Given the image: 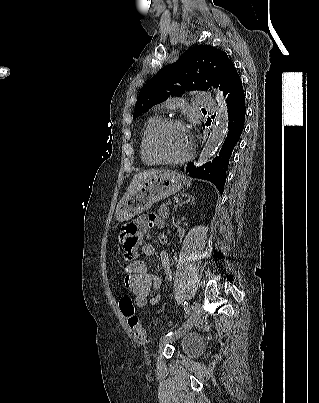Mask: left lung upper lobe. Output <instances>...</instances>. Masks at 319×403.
<instances>
[{
  "mask_svg": "<svg viewBox=\"0 0 319 403\" xmlns=\"http://www.w3.org/2000/svg\"><path fill=\"white\" fill-rule=\"evenodd\" d=\"M233 63L227 54L210 45L187 50L175 63L161 69L140 90L133 118L155 104L185 91L218 88L227 69Z\"/></svg>",
  "mask_w": 319,
  "mask_h": 403,
  "instance_id": "5c2ea615",
  "label": "left lung upper lobe"
}]
</instances>
